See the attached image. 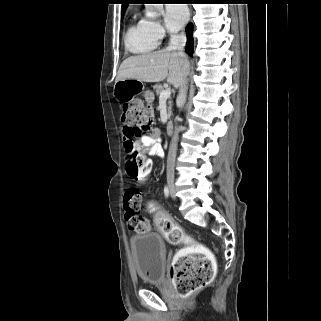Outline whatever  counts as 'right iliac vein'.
<instances>
[{
    "instance_id": "1",
    "label": "right iliac vein",
    "mask_w": 321,
    "mask_h": 321,
    "mask_svg": "<svg viewBox=\"0 0 321 321\" xmlns=\"http://www.w3.org/2000/svg\"><path fill=\"white\" fill-rule=\"evenodd\" d=\"M167 184H168V188H169V192L171 194V196H175V185H174V176L173 175H168L167 176Z\"/></svg>"
}]
</instances>
